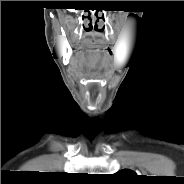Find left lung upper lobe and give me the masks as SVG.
I'll list each match as a JSON object with an SVG mask.
<instances>
[{
  "instance_id": "1",
  "label": "left lung upper lobe",
  "mask_w": 184,
  "mask_h": 184,
  "mask_svg": "<svg viewBox=\"0 0 184 184\" xmlns=\"http://www.w3.org/2000/svg\"><path fill=\"white\" fill-rule=\"evenodd\" d=\"M119 175L124 178H129V177H135L136 174L131 170H122L119 172Z\"/></svg>"
}]
</instances>
